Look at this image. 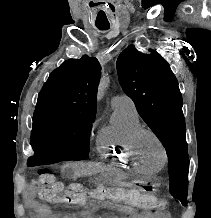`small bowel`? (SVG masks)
Masks as SVG:
<instances>
[{
	"label": "small bowel",
	"mask_w": 211,
	"mask_h": 218,
	"mask_svg": "<svg viewBox=\"0 0 211 218\" xmlns=\"http://www.w3.org/2000/svg\"><path fill=\"white\" fill-rule=\"evenodd\" d=\"M39 194L38 190L34 186H30L26 188L24 191V199L27 205L30 207H33L34 209L40 211V212H46L48 211V207L39 203L36 198L37 195ZM90 207L96 208V207H109V208H116L122 211H126L129 213L134 212V209L128 208L122 204H116L110 201H95V202H90L88 203Z\"/></svg>",
	"instance_id": "obj_1"
}]
</instances>
